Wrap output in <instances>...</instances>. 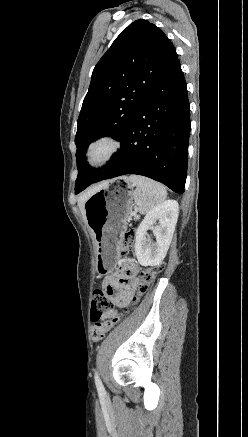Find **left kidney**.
I'll return each instance as SVG.
<instances>
[{
  "instance_id": "5707ae66",
  "label": "left kidney",
  "mask_w": 248,
  "mask_h": 437,
  "mask_svg": "<svg viewBox=\"0 0 248 437\" xmlns=\"http://www.w3.org/2000/svg\"><path fill=\"white\" fill-rule=\"evenodd\" d=\"M179 205L168 200L147 213L135 234V255L142 266L159 265L169 249L178 218ZM158 222V225H155ZM152 229L156 242L146 237Z\"/></svg>"
}]
</instances>
